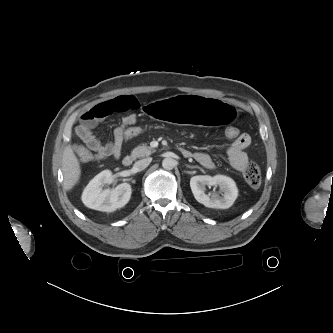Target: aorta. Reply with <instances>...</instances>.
I'll list each match as a JSON object with an SVG mask.
<instances>
[{"label": "aorta", "mask_w": 333, "mask_h": 333, "mask_svg": "<svg viewBox=\"0 0 333 333\" xmlns=\"http://www.w3.org/2000/svg\"><path fill=\"white\" fill-rule=\"evenodd\" d=\"M162 166L166 170H172L175 167V161L172 158H165L162 161Z\"/></svg>", "instance_id": "1"}]
</instances>
